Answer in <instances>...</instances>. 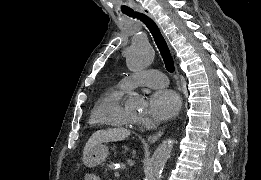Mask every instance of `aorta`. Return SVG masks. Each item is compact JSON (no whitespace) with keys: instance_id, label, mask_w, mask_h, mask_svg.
Returning <instances> with one entry per match:
<instances>
[{"instance_id":"1","label":"aorta","mask_w":261,"mask_h":180,"mask_svg":"<svg viewBox=\"0 0 261 180\" xmlns=\"http://www.w3.org/2000/svg\"><path fill=\"white\" fill-rule=\"evenodd\" d=\"M155 56L153 47L147 41L136 42L127 51L126 63L132 72H138L149 66ZM145 102L139 94L133 92L129 95L127 106L141 108ZM174 141L169 138L164 140L154 151L153 156L145 166L144 180H160L161 173L173 149Z\"/></svg>"}]
</instances>
